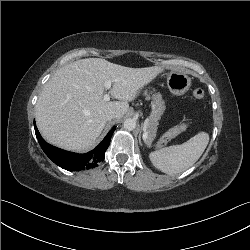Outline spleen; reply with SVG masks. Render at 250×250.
<instances>
[{"label":"spleen","mask_w":250,"mask_h":250,"mask_svg":"<svg viewBox=\"0 0 250 250\" xmlns=\"http://www.w3.org/2000/svg\"><path fill=\"white\" fill-rule=\"evenodd\" d=\"M209 134L200 132L181 145H173L151 152L152 164L168 175H176L190 168L203 154Z\"/></svg>","instance_id":"spleen-1"}]
</instances>
